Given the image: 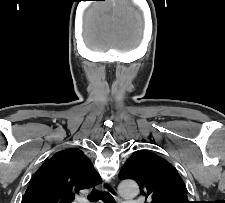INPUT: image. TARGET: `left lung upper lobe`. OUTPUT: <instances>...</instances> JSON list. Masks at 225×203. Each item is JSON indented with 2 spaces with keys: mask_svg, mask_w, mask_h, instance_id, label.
Listing matches in <instances>:
<instances>
[{
  "mask_svg": "<svg viewBox=\"0 0 225 203\" xmlns=\"http://www.w3.org/2000/svg\"><path fill=\"white\" fill-rule=\"evenodd\" d=\"M122 179H133L150 203H190L176 169L162 157L145 150L134 152L124 163Z\"/></svg>",
  "mask_w": 225,
  "mask_h": 203,
  "instance_id": "obj_1",
  "label": "left lung upper lobe"
}]
</instances>
